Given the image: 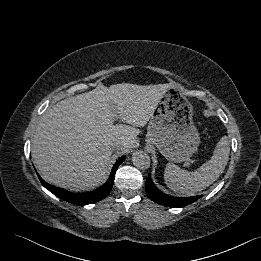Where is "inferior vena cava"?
<instances>
[{"label":"inferior vena cava","mask_w":261,"mask_h":261,"mask_svg":"<svg viewBox=\"0 0 261 261\" xmlns=\"http://www.w3.org/2000/svg\"><path fill=\"white\" fill-rule=\"evenodd\" d=\"M120 145H121V142L113 143V144H112V149H113V150H116V149H118V148L120 147Z\"/></svg>","instance_id":"602c4592"}]
</instances>
